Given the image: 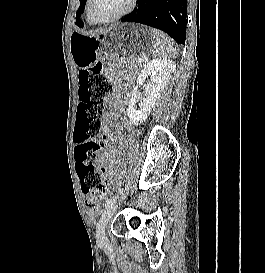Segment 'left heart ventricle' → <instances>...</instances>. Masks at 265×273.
Instances as JSON below:
<instances>
[{"instance_id":"b2bd125f","label":"left heart ventricle","mask_w":265,"mask_h":273,"mask_svg":"<svg viewBox=\"0 0 265 273\" xmlns=\"http://www.w3.org/2000/svg\"><path fill=\"white\" fill-rule=\"evenodd\" d=\"M131 0H92L90 12L94 19H107L126 9Z\"/></svg>"}]
</instances>
